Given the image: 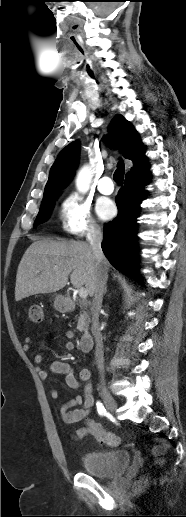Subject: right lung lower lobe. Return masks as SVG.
I'll use <instances>...</instances> for the list:
<instances>
[{"instance_id":"right-lung-lower-lobe-1","label":"right lung lower lobe","mask_w":186,"mask_h":517,"mask_svg":"<svg viewBox=\"0 0 186 517\" xmlns=\"http://www.w3.org/2000/svg\"><path fill=\"white\" fill-rule=\"evenodd\" d=\"M147 169L145 165L126 175L125 185L116 197L118 216L104 226L102 242V250L110 263L135 280V224L140 203L147 192L144 189L149 181Z\"/></svg>"}]
</instances>
